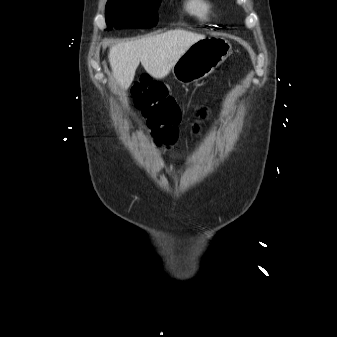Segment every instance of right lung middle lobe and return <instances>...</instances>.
<instances>
[{
  "mask_svg": "<svg viewBox=\"0 0 337 337\" xmlns=\"http://www.w3.org/2000/svg\"><path fill=\"white\" fill-rule=\"evenodd\" d=\"M161 0H109L106 4L107 30L150 28L157 23Z\"/></svg>",
  "mask_w": 337,
  "mask_h": 337,
  "instance_id": "dd1d6c3e",
  "label": "right lung middle lobe"
}]
</instances>
